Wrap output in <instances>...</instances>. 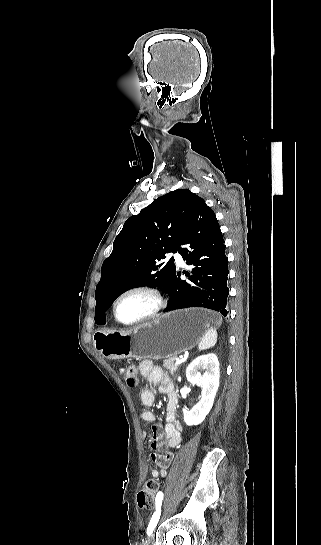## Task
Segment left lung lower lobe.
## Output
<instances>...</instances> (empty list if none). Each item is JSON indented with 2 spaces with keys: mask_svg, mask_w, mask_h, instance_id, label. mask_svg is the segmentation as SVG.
<instances>
[{
  "mask_svg": "<svg viewBox=\"0 0 321 545\" xmlns=\"http://www.w3.org/2000/svg\"><path fill=\"white\" fill-rule=\"evenodd\" d=\"M188 248H180L181 245ZM224 239L215 213L205 204L197 205L177 250L187 265H193V275L180 279L175 270L164 289L170 300L165 311L188 307H204L228 315V258Z\"/></svg>",
  "mask_w": 321,
  "mask_h": 545,
  "instance_id": "obj_1",
  "label": "left lung lower lobe"
}]
</instances>
